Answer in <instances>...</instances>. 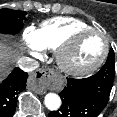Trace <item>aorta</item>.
Returning <instances> with one entry per match:
<instances>
[{
	"mask_svg": "<svg viewBox=\"0 0 117 117\" xmlns=\"http://www.w3.org/2000/svg\"><path fill=\"white\" fill-rule=\"evenodd\" d=\"M45 106L51 111H56L61 106V99L55 93H48L44 99Z\"/></svg>",
	"mask_w": 117,
	"mask_h": 117,
	"instance_id": "1",
	"label": "aorta"
}]
</instances>
